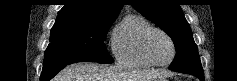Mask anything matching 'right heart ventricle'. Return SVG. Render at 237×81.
<instances>
[{
    "mask_svg": "<svg viewBox=\"0 0 237 81\" xmlns=\"http://www.w3.org/2000/svg\"><path fill=\"white\" fill-rule=\"evenodd\" d=\"M152 28L150 22L139 14H128L114 29L112 50L116 60L130 67L147 68L152 64L143 53L145 33Z\"/></svg>",
    "mask_w": 237,
    "mask_h": 81,
    "instance_id": "right-heart-ventricle-1",
    "label": "right heart ventricle"
}]
</instances>
